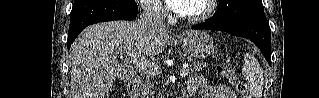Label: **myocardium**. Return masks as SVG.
<instances>
[{
  "label": "myocardium",
  "mask_w": 319,
  "mask_h": 98,
  "mask_svg": "<svg viewBox=\"0 0 319 98\" xmlns=\"http://www.w3.org/2000/svg\"><path fill=\"white\" fill-rule=\"evenodd\" d=\"M202 1L204 4V7L200 12L196 14H191V15L181 14L180 18L191 23L202 22L206 20L207 18H209V16L212 14L214 10L216 1L215 0H202Z\"/></svg>",
  "instance_id": "myocardium-1"
}]
</instances>
